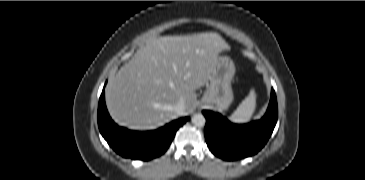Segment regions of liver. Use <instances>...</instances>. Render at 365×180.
<instances>
[{"label": "liver", "mask_w": 365, "mask_h": 180, "mask_svg": "<svg viewBox=\"0 0 365 180\" xmlns=\"http://www.w3.org/2000/svg\"><path fill=\"white\" fill-rule=\"evenodd\" d=\"M225 50L228 44L215 32L149 40L108 82L111 117L120 125L150 130L177 118L174 107L180 100L185 102L182 115L191 113L196 89L208 82Z\"/></svg>", "instance_id": "liver-1"}]
</instances>
